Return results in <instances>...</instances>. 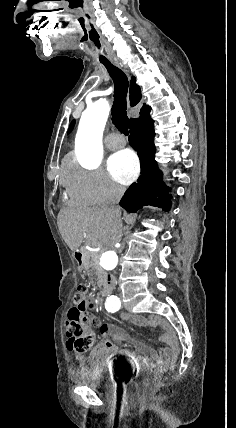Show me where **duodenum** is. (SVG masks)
I'll return each mask as SVG.
<instances>
[{
  "label": "duodenum",
  "mask_w": 236,
  "mask_h": 428,
  "mask_svg": "<svg viewBox=\"0 0 236 428\" xmlns=\"http://www.w3.org/2000/svg\"><path fill=\"white\" fill-rule=\"evenodd\" d=\"M74 260L79 270H83L84 268V257L81 250H75L74 251ZM115 287V279L113 276H106L104 278L103 284L101 286V289L99 291V295L105 299L109 298L113 295Z\"/></svg>",
  "instance_id": "duodenum-1"
}]
</instances>
